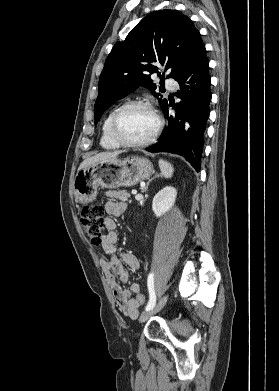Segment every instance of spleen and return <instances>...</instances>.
Wrapping results in <instances>:
<instances>
[{
  "label": "spleen",
  "mask_w": 279,
  "mask_h": 391,
  "mask_svg": "<svg viewBox=\"0 0 279 391\" xmlns=\"http://www.w3.org/2000/svg\"><path fill=\"white\" fill-rule=\"evenodd\" d=\"M159 167L161 170L162 175L165 178H171L174 172L173 166L164 160H159Z\"/></svg>",
  "instance_id": "obj_1"
}]
</instances>
